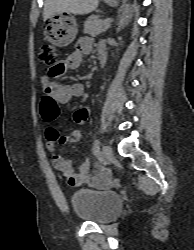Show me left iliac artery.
Masks as SVG:
<instances>
[{
    "label": "left iliac artery",
    "instance_id": "44dca946",
    "mask_svg": "<svg viewBox=\"0 0 194 250\" xmlns=\"http://www.w3.org/2000/svg\"><path fill=\"white\" fill-rule=\"evenodd\" d=\"M100 142H99V139H96L95 141H94V145H93V153H94V155H99V150H100Z\"/></svg>",
    "mask_w": 194,
    "mask_h": 250
}]
</instances>
